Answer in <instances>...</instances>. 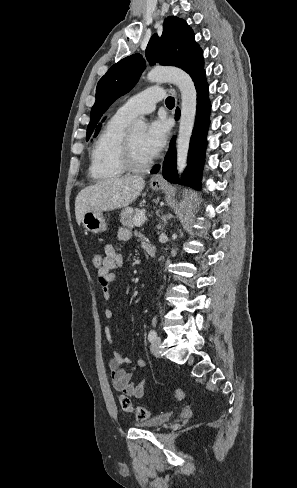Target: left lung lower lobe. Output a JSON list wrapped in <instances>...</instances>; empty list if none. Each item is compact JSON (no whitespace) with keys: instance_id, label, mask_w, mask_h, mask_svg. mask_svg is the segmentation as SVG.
Listing matches in <instances>:
<instances>
[{"instance_id":"obj_1","label":"left lung lower lobe","mask_w":297,"mask_h":488,"mask_svg":"<svg viewBox=\"0 0 297 488\" xmlns=\"http://www.w3.org/2000/svg\"><path fill=\"white\" fill-rule=\"evenodd\" d=\"M197 89V111L193 134L190 141L188 167L183 174V184L200 189L201 171L204 163L206 148V135L209 126L210 102L208 99V85L205 79V72L199 73L193 78ZM176 119L180 117L179 108L176 109ZM176 152L174 139L170 144V150L163 163V176L172 183H178L176 171ZM159 166H156L151 173H157Z\"/></svg>"}]
</instances>
